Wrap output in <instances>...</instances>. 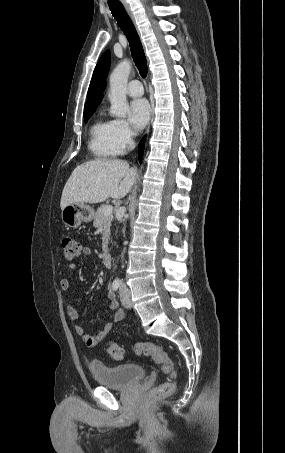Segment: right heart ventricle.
I'll use <instances>...</instances> for the list:
<instances>
[{
  "instance_id": "right-heart-ventricle-1",
  "label": "right heart ventricle",
  "mask_w": 285,
  "mask_h": 453,
  "mask_svg": "<svg viewBox=\"0 0 285 453\" xmlns=\"http://www.w3.org/2000/svg\"><path fill=\"white\" fill-rule=\"evenodd\" d=\"M89 148L98 158H111L118 154L111 120L99 116L94 121L90 128Z\"/></svg>"
}]
</instances>
